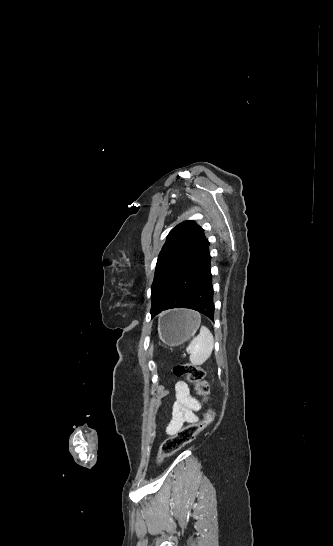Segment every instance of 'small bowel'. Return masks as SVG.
Here are the masks:
<instances>
[{
  "mask_svg": "<svg viewBox=\"0 0 333 546\" xmlns=\"http://www.w3.org/2000/svg\"><path fill=\"white\" fill-rule=\"evenodd\" d=\"M175 397L171 417L166 427L168 435L175 434L186 423L196 422L198 420L196 411L201 408L199 403L190 395L189 387L184 381L179 380L175 383Z\"/></svg>",
  "mask_w": 333,
  "mask_h": 546,
  "instance_id": "small-bowel-1",
  "label": "small bowel"
}]
</instances>
